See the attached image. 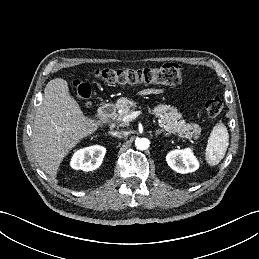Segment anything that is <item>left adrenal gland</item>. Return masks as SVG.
<instances>
[{"label":"left adrenal gland","instance_id":"1","mask_svg":"<svg viewBox=\"0 0 259 259\" xmlns=\"http://www.w3.org/2000/svg\"><path fill=\"white\" fill-rule=\"evenodd\" d=\"M162 132H164V130H162V129L161 130H157L156 133H155V136L158 137L159 134H161Z\"/></svg>","mask_w":259,"mask_h":259}]
</instances>
